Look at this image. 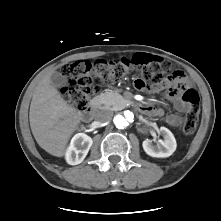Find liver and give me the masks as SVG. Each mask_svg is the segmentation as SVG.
<instances>
[{"label": "liver", "mask_w": 221, "mask_h": 221, "mask_svg": "<svg viewBox=\"0 0 221 221\" xmlns=\"http://www.w3.org/2000/svg\"><path fill=\"white\" fill-rule=\"evenodd\" d=\"M51 73L37 84L30 104L29 120L38 145L49 154L62 157L70 137L79 128L82 114L65 101L51 84Z\"/></svg>", "instance_id": "6515ba94"}]
</instances>
